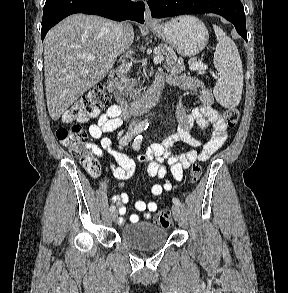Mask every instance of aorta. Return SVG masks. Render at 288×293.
I'll return each instance as SVG.
<instances>
[{"label": "aorta", "instance_id": "obj_1", "mask_svg": "<svg viewBox=\"0 0 288 293\" xmlns=\"http://www.w3.org/2000/svg\"><path fill=\"white\" fill-rule=\"evenodd\" d=\"M150 122L148 119H145L144 121H142L141 125L144 127V128H147L149 126Z\"/></svg>", "mask_w": 288, "mask_h": 293}]
</instances>
